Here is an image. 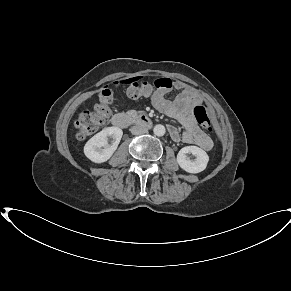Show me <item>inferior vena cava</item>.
Listing matches in <instances>:
<instances>
[{
    "label": "inferior vena cava",
    "instance_id": "obj_1",
    "mask_svg": "<svg viewBox=\"0 0 291 291\" xmlns=\"http://www.w3.org/2000/svg\"><path fill=\"white\" fill-rule=\"evenodd\" d=\"M130 131L133 135H140V134H145L148 132L147 128L142 127V126H137V125L131 127Z\"/></svg>",
    "mask_w": 291,
    "mask_h": 291
}]
</instances>
